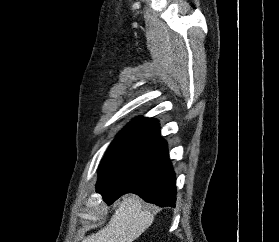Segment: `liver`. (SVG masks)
Returning a JSON list of instances; mask_svg holds the SVG:
<instances>
[{
  "mask_svg": "<svg viewBox=\"0 0 279 242\" xmlns=\"http://www.w3.org/2000/svg\"><path fill=\"white\" fill-rule=\"evenodd\" d=\"M154 214L135 195L124 197L109 223L82 242H133L153 222Z\"/></svg>",
  "mask_w": 279,
  "mask_h": 242,
  "instance_id": "liver-1",
  "label": "liver"
}]
</instances>
